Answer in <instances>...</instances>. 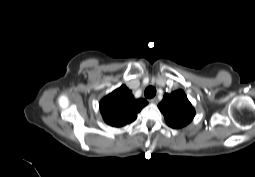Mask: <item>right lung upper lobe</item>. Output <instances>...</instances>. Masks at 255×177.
I'll use <instances>...</instances> for the list:
<instances>
[{
	"mask_svg": "<svg viewBox=\"0 0 255 177\" xmlns=\"http://www.w3.org/2000/svg\"><path fill=\"white\" fill-rule=\"evenodd\" d=\"M145 99H135L132 92L122 85L104 97L100 103V112L104 121L112 127H122L137 118V113L146 106Z\"/></svg>",
	"mask_w": 255,
	"mask_h": 177,
	"instance_id": "obj_1",
	"label": "right lung upper lobe"
}]
</instances>
